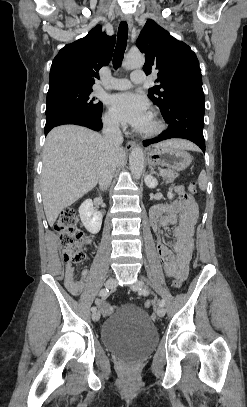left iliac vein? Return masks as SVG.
<instances>
[{
	"label": "left iliac vein",
	"mask_w": 247,
	"mask_h": 407,
	"mask_svg": "<svg viewBox=\"0 0 247 407\" xmlns=\"http://www.w3.org/2000/svg\"><path fill=\"white\" fill-rule=\"evenodd\" d=\"M144 286V283L142 280H137L135 283L131 284V289L133 291H140L141 288ZM157 315L159 317H163L165 315V309L161 306L157 308Z\"/></svg>",
	"instance_id": "4c4485c4"
}]
</instances>
